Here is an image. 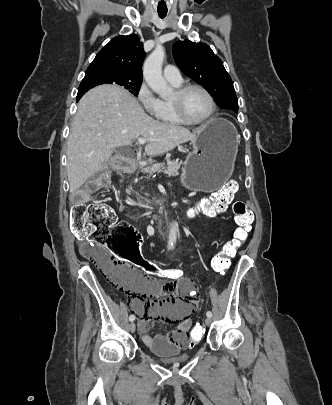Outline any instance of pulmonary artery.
Returning a JSON list of instances; mask_svg holds the SVG:
<instances>
[{
	"mask_svg": "<svg viewBox=\"0 0 332 405\" xmlns=\"http://www.w3.org/2000/svg\"><path fill=\"white\" fill-rule=\"evenodd\" d=\"M163 75L171 83L180 84L182 82L179 69L173 65H167L164 68Z\"/></svg>",
	"mask_w": 332,
	"mask_h": 405,
	"instance_id": "obj_1",
	"label": "pulmonary artery"
}]
</instances>
